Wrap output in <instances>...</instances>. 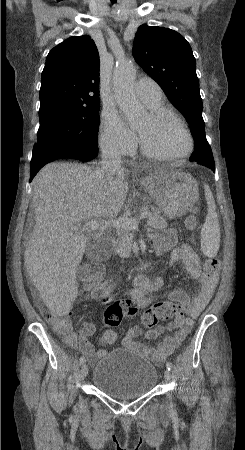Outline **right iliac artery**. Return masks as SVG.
<instances>
[{
  "label": "right iliac artery",
  "instance_id": "right-iliac-artery-1",
  "mask_svg": "<svg viewBox=\"0 0 245 450\" xmlns=\"http://www.w3.org/2000/svg\"><path fill=\"white\" fill-rule=\"evenodd\" d=\"M83 363H84V357H81L80 360H79V364L81 365Z\"/></svg>",
  "mask_w": 245,
  "mask_h": 450
}]
</instances>
